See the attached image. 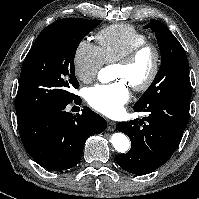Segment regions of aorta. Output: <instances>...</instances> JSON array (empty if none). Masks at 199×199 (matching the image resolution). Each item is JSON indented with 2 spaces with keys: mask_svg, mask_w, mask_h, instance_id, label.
Masks as SVG:
<instances>
[{
  "mask_svg": "<svg viewBox=\"0 0 199 199\" xmlns=\"http://www.w3.org/2000/svg\"><path fill=\"white\" fill-rule=\"evenodd\" d=\"M98 79L102 83L110 80V73L107 69H101L98 74ZM111 143L116 151L126 153L130 148L129 139L123 133H115L111 137Z\"/></svg>",
  "mask_w": 199,
  "mask_h": 199,
  "instance_id": "obj_1",
  "label": "aorta"
}]
</instances>
